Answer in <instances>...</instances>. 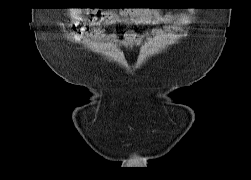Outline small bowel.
Here are the masks:
<instances>
[{
  "label": "small bowel",
  "instance_id": "1",
  "mask_svg": "<svg viewBox=\"0 0 251 180\" xmlns=\"http://www.w3.org/2000/svg\"><path fill=\"white\" fill-rule=\"evenodd\" d=\"M98 25L131 24L154 25L159 23H171L181 19L180 15L162 13L156 10H132L117 13L115 11L96 10L91 13ZM141 37L135 31H127L122 38V45L132 46L140 42Z\"/></svg>",
  "mask_w": 251,
  "mask_h": 180
}]
</instances>
